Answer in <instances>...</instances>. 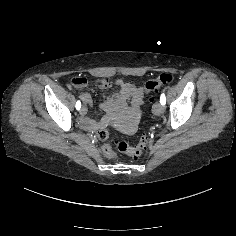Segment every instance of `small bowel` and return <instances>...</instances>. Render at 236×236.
Here are the masks:
<instances>
[{"label":"small bowel","instance_id":"small-bowel-1","mask_svg":"<svg viewBox=\"0 0 236 236\" xmlns=\"http://www.w3.org/2000/svg\"><path fill=\"white\" fill-rule=\"evenodd\" d=\"M100 84L101 85H104L105 83H102V82H100ZM135 92H137L136 90H135ZM83 97V100L85 101V102H87V103H89L90 102V98H89V96L88 95H83L82 96ZM140 105V101H137V107Z\"/></svg>","mask_w":236,"mask_h":236}]
</instances>
